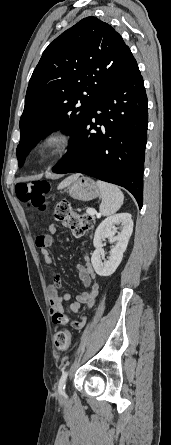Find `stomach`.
I'll return each mask as SVG.
<instances>
[{"mask_svg": "<svg viewBox=\"0 0 171 445\" xmlns=\"http://www.w3.org/2000/svg\"><path fill=\"white\" fill-rule=\"evenodd\" d=\"M68 193L72 198L81 201L93 200L101 194L97 184L88 177H81L72 182L68 186Z\"/></svg>", "mask_w": 171, "mask_h": 445, "instance_id": "obj_1", "label": "stomach"}]
</instances>
